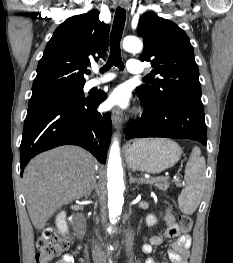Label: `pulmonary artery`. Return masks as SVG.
<instances>
[{
	"label": "pulmonary artery",
	"instance_id": "e3ab8cb5",
	"mask_svg": "<svg viewBox=\"0 0 233 263\" xmlns=\"http://www.w3.org/2000/svg\"><path fill=\"white\" fill-rule=\"evenodd\" d=\"M127 71L130 74H141L143 73V68L141 66L140 61L136 60V59H130L127 63ZM115 74L114 73H106L104 75H102L101 77L98 78H94L92 80H90L87 84L88 88H93L96 87L98 85L107 83L111 80H113L115 78Z\"/></svg>",
	"mask_w": 233,
	"mask_h": 263
}]
</instances>
